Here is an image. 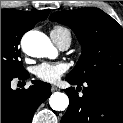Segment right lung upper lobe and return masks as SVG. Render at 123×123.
Here are the masks:
<instances>
[{
  "label": "right lung upper lobe",
  "mask_w": 123,
  "mask_h": 123,
  "mask_svg": "<svg viewBox=\"0 0 123 123\" xmlns=\"http://www.w3.org/2000/svg\"><path fill=\"white\" fill-rule=\"evenodd\" d=\"M2 12H10L14 14L22 23L27 25H34L39 22L43 21L48 17L50 13L49 10H41V11H19V10H11V9H1Z\"/></svg>",
  "instance_id": "1"
}]
</instances>
